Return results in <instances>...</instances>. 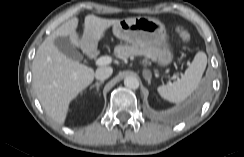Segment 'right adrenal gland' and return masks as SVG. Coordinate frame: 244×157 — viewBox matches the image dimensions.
I'll return each mask as SVG.
<instances>
[{
	"mask_svg": "<svg viewBox=\"0 0 244 157\" xmlns=\"http://www.w3.org/2000/svg\"><path fill=\"white\" fill-rule=\"evenodd\" d=\"M103 83H104V81L96 82L94 85H92V86L90 87V90H91L92 88L96 87L97 92H99V87H100V85L103 84Z\"/></svg>",
	"mask_w": 244,
	"mask_h": 157,
	"instance_id": "right-adrenal-gland-1",
	"label": "right adrenal gland"
}]
</instances>
